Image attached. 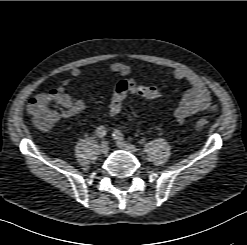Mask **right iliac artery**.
I'll list each match as a JSON object with an SVG mask.
<instances>
[{
  "label": "right iliac artery",
  "mask_w": 247,
  "mask_h": 245,
  "mask_svg": "<svg viewBox=\"0 0 247 245\" xmlns=\"http://www.w3.org/2000/svg\"><path fill=\"white\" fill-rule=\"evenodd\" d=\"M96 135L99 138H103L106 135V129L104 126H99L96 130Z\"/></svg>",
  "instance_id": "right-iliac-artery-1"
}]
</instances>
